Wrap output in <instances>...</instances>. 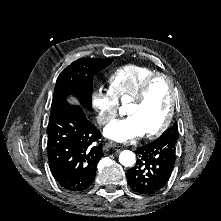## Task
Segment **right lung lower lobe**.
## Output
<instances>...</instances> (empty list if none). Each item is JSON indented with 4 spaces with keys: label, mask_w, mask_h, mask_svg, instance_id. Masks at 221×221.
<instances>
[{
    "label": "right lung lower lobe",
    "mask_w": 221,
    "mask_h": 221,
    "mask_svg": "<svg viewBox=\"0 0 221 221\" xmlns=\"http://www.w3.org/2000/svg\"><path fill=\"white\" fill-rule=\"evenodd\" d=\"M100 131L86 118L83 108L63 103L48 123V159L55 180L69 191L90 187L103 156Z\"/></svg>",
    "instance_id": "1"
}]
</instances>
